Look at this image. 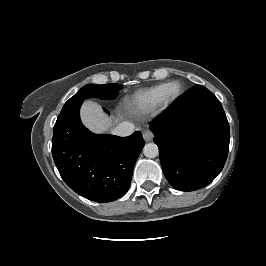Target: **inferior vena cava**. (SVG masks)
I'll use <instances>...</instances> for the list:
<instances>
[{
    "label": "inferior vena cava",
    "instance_id": "602c4592",
    "mask_svg": "<svg viewBox=\"0 0 266 266\" xmlns=\"http://www.w3.org/2000/svg\"><path fill=\"white\" fill-rule=\"evenodd\" d=\"M112 132L117 136L126 137L134 132V125L130 122H122Z\"/></svg>",
    "mask_w": 266,
    "mask_h": 266
}]
</instances>
